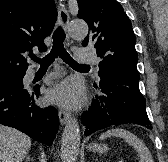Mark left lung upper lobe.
Returning <instances> with one entry per match:
<instances>
[{
	"label": "left lung upper lobe",
	"instance_id": "5c2ea615",
	"mask_svg": "<svg viewBox=\"0 0 168 162\" xmlns=\"http://www.w3.org/2000/svg\"><path fill=\"white\" fill-rule=\"evenodd\" d=\"M78 17L85 20L90 33L82 45H94L99 63L100 78L115 74L139 81L136 64V37L131 21L116 0H77Z\"/></svg>",
	"mask_w": 168,
	"mask_h": 162
}]
</instances>
